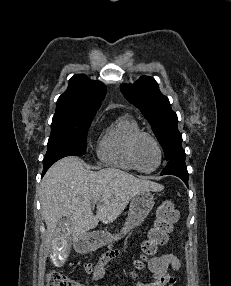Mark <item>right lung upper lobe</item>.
Returning <instances> with one entry per match:
<instances>
[{
	"instance_id": "1",
	"label": "right lung upper lobe",
	"mask_w": 231,
	"mask_h": 286,
	"mask_svg": "<svg viewBox=\"0 0 231 286\" xmlns=\"http://www.w3.org/2000/svg\"><path fill=\"white\" fill-rule=\"evenodd\" d=\"M106 94V87L86 75L73 76L68 89L57 100L56 112L96 113Z\"/></svg>"
}]
</instances>
